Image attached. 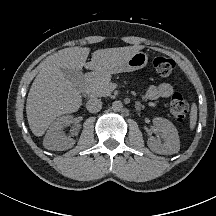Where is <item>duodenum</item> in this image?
Here are the masks:
<instances>
[{"instance_id":"obj_1","label":"duodenum","mask_w":216,"mask_h":216,"mask_svg":"<svg viewBox=\"0 0 216 216\" xmlns=\"http://www.w3.org/2000/svg\"><path fill=\"white\" fill-rule=\"evenodd\" d=\"M92 79H93V75L92 74L86 75L84 84H83L82 89H81V91L83 93H85L87 91L88 84L92 81Z\"/></svg>"}]
</instances>
